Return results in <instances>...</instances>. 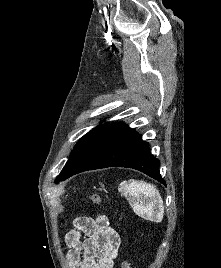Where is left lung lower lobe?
Returning a JSON list of instances; mask_svg holds the SVG:
<instances>
[{"instance_id":"obj_1","label":"left lung lower lobe","mask_w":221,"mask_h":268,"mask_svg":"<svg viewBox=\"0 0 221 268\" xmlns=\"http://www.w3.org/2000/svg\"><path fill=\"white\" fill-rule=\"evenodd\" d=\"M111 166L133 168L165 184L159 173V160L148 151V142L124 123L106 127L56 181L79 172Z\"/></svg>"}]
</instances>
